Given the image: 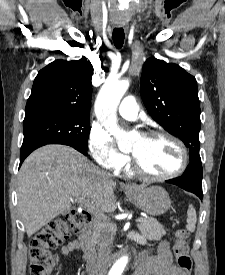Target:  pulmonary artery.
<instances>
[{
  "mask_svg": "<svg viewBox=\"0 0 225 275\" xmlns=\"http://www.w3.org/2000/svg\"><path fill=\"white\" fill-rule=\"evenodd\" d=\"M139 107L133 96L125 97L118 108L119 114L126 119L134 120L137 118Z\"/></svg>",
  "mask_w": 225,
  "mask_h": 275,
  "instance_id": "e3ab8cb5",
  "label": "pulmonary artery"
}]
</instances>
